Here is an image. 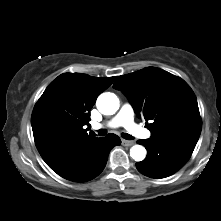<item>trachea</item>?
<instances>
[{
  "mask_svg": "<svg viewBox=\"0 0 221 221\" xmlns=\"http://www.w3.org/2000/svg\"><path fill=\"white\" fill-rule=\"evenodd\" d=\"M106 133H107V131L105 129L98 130V135L99 136H104V135H106ZM122 137L126 140H132L133 139V137L131 135L127 134V133H122Z\"/></svg>",
  "mask_w": 221,
  "mask_h": 221,
  "instance_id": "3493384b",
  "label": "trachea"
}]
</instances>
